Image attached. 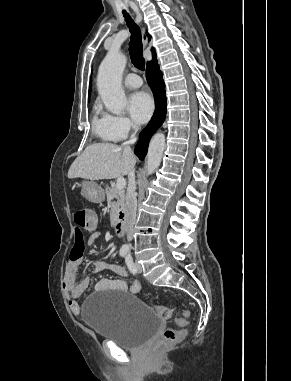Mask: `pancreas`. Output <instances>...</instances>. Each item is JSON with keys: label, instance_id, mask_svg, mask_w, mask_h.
<instances>
[{"label": "pancreas", "instance_id": "pancreas-1", "mask_svg": "<svg viewBox=\"0 0 291 381\" xmlns=\"http://www.w3.org/2000/svg\"><path fill=\"white\" fill-rule=\"evenodd\" d=\"M106 195L108 206L111 209V224H115V222L118 220L119 210L122 206H124L125 191L123 189H118L116 186H111L107 187Z\"/></svg>", "mask_w": 291, "mask_h": 381}]
</instances>
